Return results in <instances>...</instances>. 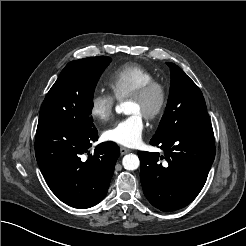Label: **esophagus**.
<instances>
[{
	"mask_svg": "<svg viewBox=\"0 0 246 246\" xmlns=\"http://www.w3.org/2000/svg\"><path fill=\"white\" fill-rule=\"evenodd\" d=\"M131 150L125 147H120V153L121 155H125L127 153H129Z\"/></svg>",
	"mask_w": 246,
	"mask_h": 246,
	"instance_id": "esophagus-1",
	"label": "esophagus"
}]
</instances>
